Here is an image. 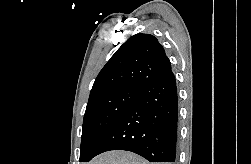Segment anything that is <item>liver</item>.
Segmentation results:
<instances>
[{
	"label": "liver",
	"instance_id": "6515ba94",
	"mask_svg": "<svg viewBox=\"0 0 251 164\" xmlns=\"http://www.w3.org/2000/svg\"><path fill=\"white\" fill-rule=\"evenodd\" d=\"M89 164H150V163L131 152L110 151L97 156Z\"/></svg>",
	"mask_w": 251,
	"mask_h": 164
}]
</instances>
